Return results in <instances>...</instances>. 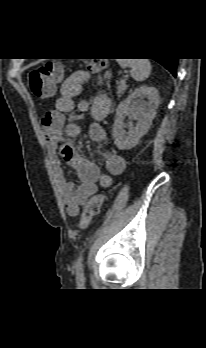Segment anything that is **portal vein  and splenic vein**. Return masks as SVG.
Returning <instances> with one entry per match:
<instances>
[{
    "label": "portal vein and splenic vein",
    "mask_w": 206,
    "mask_h": 348,
    "mask_svg": "<svg viewBox=\"0 0 206 348\" xmlns=\"http://www.w3.org/2000/svg\"><path fill=\"white\" fill-rule=\"evenodd\" d=\"M121 82H122V83H125V79H122Z\"/></svg>",
    "instance_id": "18ae733b"
}]
</instances>
